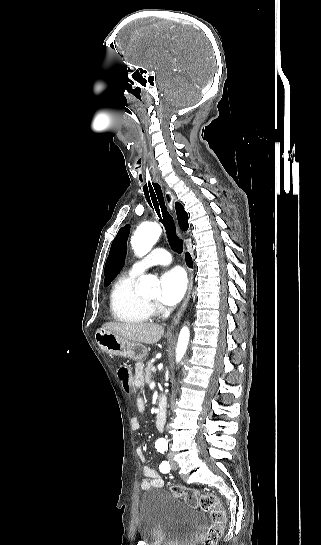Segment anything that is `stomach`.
<instances>
[{
  "label": "stomach",
  "mask_w": 321,
  "mask_h": 545,
  "mask_svg": "<svg viewBox=\"0 0 321 545\" xmlns=\"http://www.w3.org/2000/svg\"><path fill=\"white\" fill-rule=\"evenodd\" d=\"M95 341L103 353L107 355H116V357H125V359H144L147 355L145 347L135 343V341H127L122 337H117L114 333H106L104 329H98L95 333Z\"/></svg>",
  "instance_id": "0dacf381"
}]
</instances>
